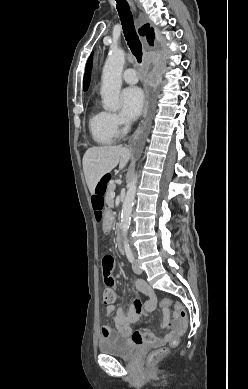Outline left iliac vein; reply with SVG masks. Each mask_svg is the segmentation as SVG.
<instances>
[{"instance_id": "obj_1", "label": "left iliac vein", "mask_w": 248, "mask_h": 389, "mask_svg": "<svg viewBox=\"0 0 248 389\" xmlns=\"http://www.w3.org/2000/svg\"><path fill=\"white\" fill-rule=\"evenodd\" d=\"M132 269H133L134 273H136V274L142 273V268H141L140 263L138 261L133 262Z\"/></svg>"}]
</instances>
